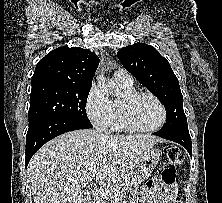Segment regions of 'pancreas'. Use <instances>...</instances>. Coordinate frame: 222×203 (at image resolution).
Masks as SVG:
<instances>
[{"instance_id": "pancreas-1", "label": "pancreas", "mask_w": 222, "mask_h": 203, "mask_svg": "<svg viewBox=\"0 0 222 203\" xmlns=\"http://www.w3.org/2000/svg\"><path fill=\"white\" fill-rule=\"evenodd\" d=\"M132 178L125 176L113 181L110 184V188H105L103 197L101 198V203H115L114 195L116 193H121L125 187L132 186Z\"/></svg>"}]
</instances>
